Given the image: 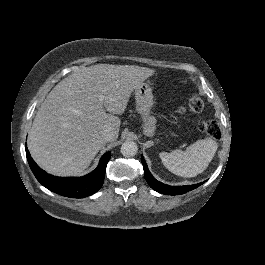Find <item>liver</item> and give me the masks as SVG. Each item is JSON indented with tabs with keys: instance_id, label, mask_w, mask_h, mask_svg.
Masks as SVG:
<instances>
[{
	"instance_id": "liver-1",
	"label": "liver",
	"mask_w": 265,
	"mask_h": 265,
	"mask_svg": "<svg viewBox=\"0 0 265 265\" xmlns=\"http://www.w3.org/2000/svg\"><path fill=\"white\" fill-rule=\"evenodd\" d=\"M135 65L96 64L80 68L60 81L34 117L29 149L36 164L57 177H79L102 149L104 131L118 138L122 114L131 92L153 74ZM98 94L105 97V113Z\"/></svg>"
}]
</instances>
